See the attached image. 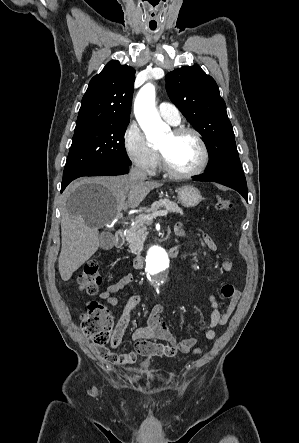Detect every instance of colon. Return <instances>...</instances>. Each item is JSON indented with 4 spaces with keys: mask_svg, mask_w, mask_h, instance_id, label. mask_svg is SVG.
Here are the masks:
<instances>
[{
    "mask_svg": "<svg viewBox=\"0 0 299 443\" xmlns=\"http://www.w3.org/2000/svg\"><path fill=\"white\" fill-rule=\"evenodd\" d=\"M232 202L229 198L221 196L216 199L215 208L220 212L229 211ZM102 282L97 261H87L83 266V271L78 278L80 289L88 295H96ZM113 319L109 310L97 301L86 303L82 313V330L84 335L95 345L98 354L107 357L109 351L106 345L111 339ZM196 349L194 353H199Z\"/></svg>",
    "mask_w": 299,
    "mask_h": 443,
    "instance_id": "5ec220e1",
    "label": "colon"
}]
</instances>
